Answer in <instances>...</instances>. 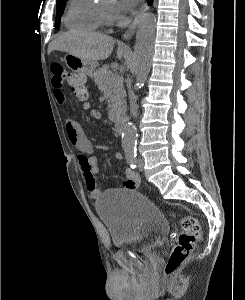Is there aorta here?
<instances>
[{
    "mask_svg": "<svg viewBox=\"0 0 245 300\" xmlns=\"http://www.w3.org/2000/svg\"><path fill=\"white\" fill-rule=\"evenodd\" d=\"M156 17L145 13L139 21L135 46V76L137 88H141L149 74L154 50ZM137 130L133 123H128L122 134V145L125 150H132L136 145Z\"/></svg>",
    "mask_w": 245,
    "mask_h": 300,
    "instance_id": "aorta-1",
    "label": "aorta"
}]
</instances>
